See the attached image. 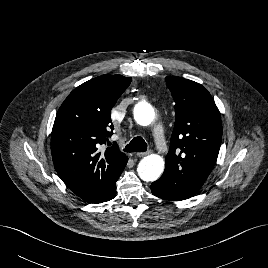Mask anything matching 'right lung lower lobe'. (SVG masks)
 Segmentation results:
<instances>
[{
	"label": "right lung lower lobe",
	"mask_w": 268,
	"mask_h": 268,
	"mask_svg": "<svg viewBox=\"0 0 268 268\" xmlns=\"http://www.w3.org/2000/svg\"><path fill=\"white\" fill-rule=\"evenodd\" d=\"M127 164V163H126ZM124 169V168H123ZM122 169V171H123ZM122 171L120 172V174L122 173ZM120 174L118 175V177L116 178L115 182L113 183V185L111 186L110 190L107 192V194L105 196H103L101 198V200L98 203H102V202H106L109 201L111 199H113L116 196V181L119 178Z\"/></svg>",
	"instance_id": "98d812e1"
}]
</instances>
